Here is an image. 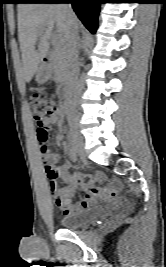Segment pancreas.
<instances>
[{"instance_id":"1","label":"pancreas","mask_w":166,"mask_h":267,"mask_svg":"<svg viewBox=\"0 0 166 267\" xmlns=\"http://www.w3.org/2000/svg\"><path fill=\"white\" fill-rule=\"evenodd\" d=\"M52 61L56 80H64L69 71L67 45L64 43L56 44L52 52Z\"/></svg>"}]
</instances>
